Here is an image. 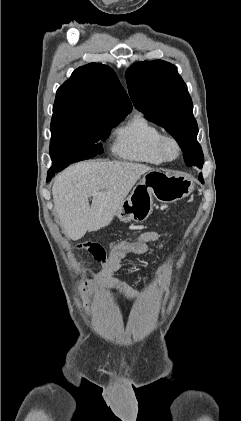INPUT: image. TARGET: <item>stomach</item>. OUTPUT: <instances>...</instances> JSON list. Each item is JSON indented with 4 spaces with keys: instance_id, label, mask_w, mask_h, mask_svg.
Returning a JSON list of instances; mask_svg holds the SVG:
<instances>
[{
    "instance_id": "obj_1",
    "label": "stomach",
    "mask_w": 241,
    "mask_h": 421,
    "mask_svg": "<svg viewBox=\"0 0 241 421\" xmlns=\"http://www.w3.org/2000/svg\"><path fill=\"white\" fill-rule=\"evenodd\" d=\"M193 189L194 180L191 177L153 169L134 187L115 216L123 222H144L153 211L154 198L161 203H173L188 197Z\"/></svg>"
}]
</instances>
